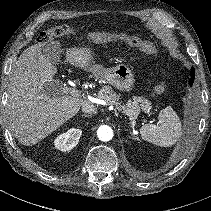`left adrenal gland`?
<instances>
[{"label":"left adrenal gland","instance_id":"1","mask_svg":"<svg viewBox=\"0 0 211 211\" xmlns=\"http://www.w3.org/2000/svg\"><path fill=\"white\" fill-rule=\"evenodd\" d=\"M132 139H134V140H138V138H136V137H133Z\"/></svg>","mask_w":211,"mask_h":211}]
</instances>
